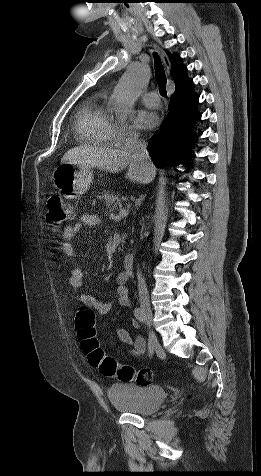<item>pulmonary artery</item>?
Segmentation results:
<instances>
[{
  "mask_svg": "<svg viewBox=\"0 0 261 476\" xmlns=\"http://www.w3.org/2000/svg\"><path fill=\"white\" fill-rule=\"evenodd\" d=\"M142 102L150 108H157L160 104L158 94L155 91L144 92L141 95Z\"/></svg>",
  "mask_w": 261,
  "mask_h": 476,
  "instance_id": "e3ab8cb5",
  "label": "pulmonary artery"
}]
</instances>
